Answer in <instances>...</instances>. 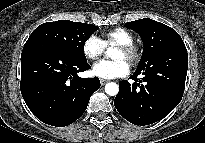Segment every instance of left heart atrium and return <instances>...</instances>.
Instances as JSON below:
<instances>
[{
	"instance_id": "39dd6f15",
	"label": "left heart atrium",
	"mask_w": 205,
	"mask_h": 143,
	"mask_svg": "<svg viewBox=\"0 0 205 143\" xmlns=\"http://www.w3.org/2000/svg\"><path fill=\"white\" fill-rule=\"evenodd\" d=\"M92 72L103 79L123 77L129 72V64L124 59L101 60L93 65Z\"/></svg>"
}]
</instances>
